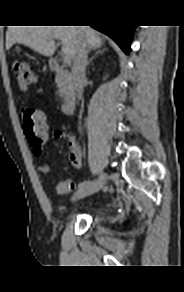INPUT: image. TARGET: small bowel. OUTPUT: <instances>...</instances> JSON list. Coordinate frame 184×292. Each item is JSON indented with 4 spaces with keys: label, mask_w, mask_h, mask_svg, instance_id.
<instances>
[{
    "label": "small bowel",
    "mask_w": 184,
    "mask_h": 292,
    "mask_svg": "<svg viewBox=\"0 0 184 292\" xmlns=\"http://www.w3.org/2000/svg\"><path fill=\"white\" fill-rule=\"evenodd\" d=\"M54 137L56 139H61L64 138L67 141V145L69 148V155L67 156L71 165L76 168L80 169L82 167L83 161H82V151L80 146L78 145L77 141L75 138L71 135L65 134L61 131H55L54 132ZM40 171L44 173L50 172V167L48 164H41L39 166ZM73 188V184L69 180H63L60 181L57 184V192L59 194H66L68 193L71 189Z\"/></svg>",
    "instance_id": "obj_1"
}]
</instances>
